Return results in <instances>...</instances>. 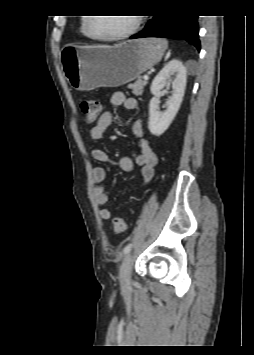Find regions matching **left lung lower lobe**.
Returning <instances> with one entry per match:
<instances>
[{"mask_svg": "<svg viewBox=\"0 0 254 355\" xmlns=\"http://www.w3.org/2000/svg\"><path fill=\"white\" fill-rule=\"evenodd\" d=\"M197 17V15H155L140 34L132 35L130 39L145 37L182 38L200 51Z\"/></svg>", "mask_w": 254, "mask_h": 355, "instance_id": "0a47b994", "label": "left lung lower lobe"}]
</instances>
